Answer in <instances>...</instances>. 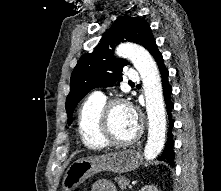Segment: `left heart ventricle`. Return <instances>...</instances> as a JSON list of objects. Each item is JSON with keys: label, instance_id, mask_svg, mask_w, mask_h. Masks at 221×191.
Wrapping results in <instances>:
<instances>
[{"label": "left heart ventricle", "instance_id": "1", "mask_svg": "<svg viewBox=\"0 0 221 191\" xmlns=\"http://www.w3.org/2000/svg\"><path fill=\"white\" fill-rule=\"evenodd\" d=\"M111 127L114 136L121 140L130 138L137 128L129 121L125 106L118 107L113 111Z\"/></svg>", "mask_w": 221, "mask_h": 191}]
</instances>
